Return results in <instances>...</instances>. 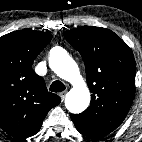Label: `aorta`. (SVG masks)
Returning <instances> with one entry per match:
<instances>
[{
    "instance_id": "obj_1",
    "label": "aorta",
    "mask_w": 142,
    "mask_h": 142,
    "mask_svg": "<svg viewBox=\"0 0 142 142\" xmlns=\"http://www.w3.org/2000/svg\"><path fill=\"white\" fill-rule=\"evenodd\" d=\"M49 65L57 76L73 86L65 98L67 110L74 114L86 110L90 103V91L74 59L62 47H53L49 55Z\"/></svg>"
}]
</instances>
